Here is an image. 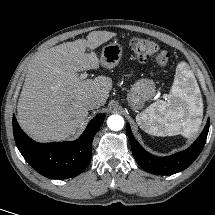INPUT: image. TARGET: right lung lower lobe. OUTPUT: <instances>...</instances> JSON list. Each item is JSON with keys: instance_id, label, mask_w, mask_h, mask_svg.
Here are the masks:
<instances>
[{"instance_id": "1", "label": "right lung lower lobe", "mask_w": 215, "mask_h": 215, "mask_svg": "<svg viewBox=\"0 0 215 215\" xmlns=\"http://www.w3.org/2000/svg\"><path fill=\"white\" fill-rule=\"evenodd\" d=\"M105 118L95 116L84 133L73 142L37 143L28 137L13 117V133L16 145L30 164L41 175L51 179H66L82 173L92 155V141Z\"/></svg>"}]
</instances>
